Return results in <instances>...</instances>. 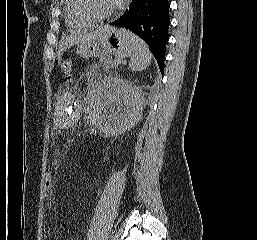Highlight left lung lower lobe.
<instances>
[{
	"instance_id": "left-lung-lower-lobe-1",
	"label": "left lung lower lobe",
	"mask_w": 257,
	"mask_h": 240,
	"mask_svg": "<svg viewBox=\"0 0 257 240\" xmlns=\"http://www.w3.org/2000/svg\"><path fill=\"white\" fill-rule=\"evenodd\" d=\"M169 24L168 0H133L125 13L110 23L127 28L143 39L151 48L162 74Z\"/></svg>"
}]
</instances>
